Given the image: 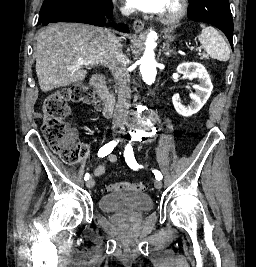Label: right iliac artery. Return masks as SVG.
Here are the masks:
<instances>
[{"instance_id":"right-iliac-artery-1","label":"right iliac artery","mask_w":256,"mask_h":267,"mask_svg":"<svg viewBox=\"0 0 256 267\" xmlns=\"http://www.w3.org/2000/svg\"><path fill=\"white\" fill-rule=\"evenodd\" d=\"M118 142H119V140L111 141V142L107 143L106 145H104L103 147H101L98 151V156L99 157H105L108 154H110ZM89 178H90V175L88 173H86L84 180L87 181V180H89Z\"/></svg>"}]
</instances>
